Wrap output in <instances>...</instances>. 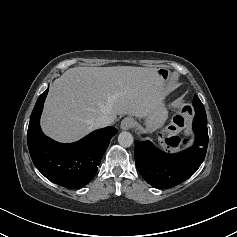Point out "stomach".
Returning a JSON list of instances; mask_svg holds the SVG:
<instances>
[{
	"label": "stomach",
	"mask_w": 237,
	"mask_h": 237,
	"mask_svg": "<svg viewBox=\"0 0 237 237\" xmlns=\"http://www.w3.org/2000/svg\"><path fill=\"white\" fill-rule=\"evenodd\" d=\"M157 73L164 83V89L158 104L144 117L147 132H153L162 127L168 118V111L163 100L167 95L168 87L172 81L173 75L167 68H159L157 69Z\"/></svg>",
	"instance_id": "0dacf381"
}]
</instances>
